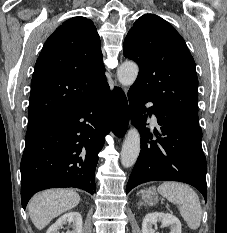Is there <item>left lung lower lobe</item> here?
I'll return each instance as SVG.
<instances>
[{
	"label": "left lung lower lobe",
	"instance_id": "left-lung-lower-lobe-1",
	"mask_svg": "<svg viewBox=\"0 0 227 233\" xmlns=\"http://www.w3.org/2000/svg\"><path fill=\"white\" fill-rule=\"evenodd\" d=\"M128 100L132 124L141 135V151L128 180L126 194L145 182L170 180L194 186L207 200V163L199 124L132 87ZM147 102H152L153 106L146 109ZM151 114L156 115L159 124L153 132L146 128V117ZM153 136L157 139L152 140Z\"/></svg>",
	"mask_w": 227,
	"mask_h": 233
}]
</instances>
